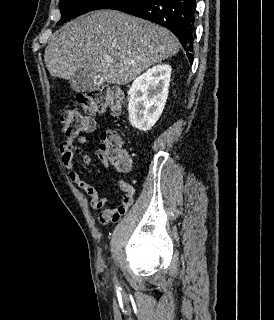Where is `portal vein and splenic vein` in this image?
Listing matches in <instances>:
<instances>
[{"mask_svg": "<svg viewBox=\"0 0 274 320\" xmlns=\"http://www.w3.org/2000/svg\"><path fill=\"white\" fill-rule=\"evenodd\" d=\"M106 62H113V60H110V58H105Z\"/></svg>", "mask_w": 274, "mask_h": 320, "instance_id": "portal-vein-and-splenic-vein-1", "label": "portal vein and splenic vein"}]
</instances>
